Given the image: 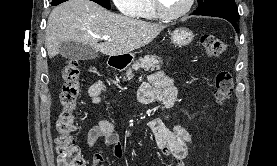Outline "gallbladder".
Masks as SVG:
<instances>
[{
    "mask_svg": "<svg viewBox=\"0 0 277 166\" xmlns=\"http://www.w3.org/2000/svg\"><path fill=\"white\" fill-rule=\"evenodd\" d=\"M60 54L65 58L75 60H90L98 55L90 45L72 41L61 43Z\"/></svg>",
    "mask_w": 277,
    "mask_h": 166,
    "instance_id": "gallbladder-1",
    "label": "gallbladder"
}]
</instances>
